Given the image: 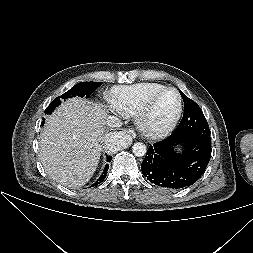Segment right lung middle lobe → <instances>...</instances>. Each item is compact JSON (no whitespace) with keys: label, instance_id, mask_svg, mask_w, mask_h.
Returning <instances> with one entry per match:
<instances>
[{"label":"right lung middle lobe","instance_id":"right-lung-middle-lobe-1","mask_svg":"<svg viewBox=\"0 0 253 253\" xmlns=\"http://www.w3.org/2000/svg\"><path fill=\"white\" fill-rule=\"evenodd\" d=\"M101 84H102V82H81V83H78L74 87H72L70 90H68L66 93L55 98L51 102V104L46 108L45 112L47 114H50L51 112H53V110L61 104V99H67V98H71L74 96L89 97L93 93V91H95Z\"/></svg>","mask_w":253,"mask_h":253}]
</instances>
